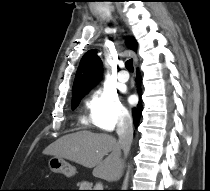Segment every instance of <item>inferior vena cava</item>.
Listing matches in <instances>:
<instances>
[{
  "label": "inferior vena cava",
  "mask_w": 210,
  "mask_h": 191,
  "mask_svg": "<svg viewBox=\"0 0 210 191\" xmlns=\"http://www.w3.org/2000/svg\"><path fill=\"white\" fill-rule=\"evenodd\" d=\"M116 131L119 137L118 140L119 147L121 150H123L124 155L127 156L130 151L133 139V120L128 112H124L120 115ZM123 168H124V162L121 160V165H120L121 175Z\"/></svg>",
  "instance_id": "inferior-vena-cava-1"
}]
</instances>
